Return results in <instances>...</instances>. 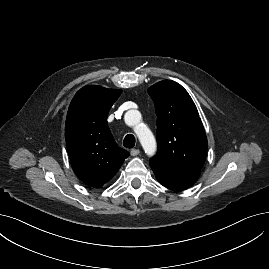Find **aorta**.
Returning a JSON list of instances; mask_svg holds the SVG:
<instances>
[{
  "label": "aorta",
  "mask_w": 269,
  "mask_h": 269,
  "mask_svg": "<svg viewBox=\"0 0 269 269\" xmlns=\"http://www.w3.org/2000/svg\"><path fill=\"white\" fill-rule=\"evenodd\" d=\"M141 115L136 110H130L125 115V120L128 125H138ZM139 141L148 156H153L157 150V144L153 133L145 125H138L135 128Z\"/></svg>",
  "instance_id": "1"
}]
</instances>
